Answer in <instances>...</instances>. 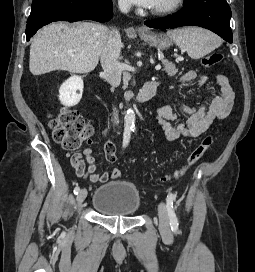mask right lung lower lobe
Instances as JSON below:
<instances>
[{"instance_id":"right-lung-lower-lobe-1","label":"right lung lower lobe","mask_w":255,"mask_h":272,"mask_svg":"<svg viewBox=\"0 0 255 272\" xmlns=\"http://www.w3.org/2000/svg\"><path fill=\"white\" fill-rule=\"evenodd\" d=\"M111 17L112 0H33L26 25L27 41L51 22L85 19L105 22Z\"/></svg>"}]
</instances>
